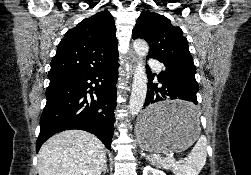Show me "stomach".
<instances>
[{"label": "stomach", "instance_id": "stomach-1", "mask_svg": "<svg viewBox=\"0 0 251 175\" xmlns=\"http://www.w3.org/2000/svg\"><path fill=\"white\" fill-rule=\"evenodd\" d=\"M191 100H160L159 107H148L138 117L135 127L137 139L153 154H172L184 151L198 139L199 115L190 106Z\"/></svg>", "mask_w": 251, "mask_h": 175}]
</instances>
